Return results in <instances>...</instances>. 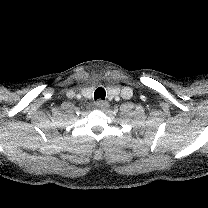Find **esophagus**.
<instances>
[{
    "mask_svg": "<svg viewBox=\"0 0 208 208\" xmlns=\"http://www.w3.org/2000/svg\"><path fill=\"white\" fill-rule=\"evenodd\" d=\"M95 106L98 109H105V108L109 107V103L107 101H104V100H97L96 103H95Z\"/></svg>",
    "mask_w": 208,
    "mask_h": 208,
    "instance_id": "34e87169",
    "label": "esophagus"
}]
</instances>
